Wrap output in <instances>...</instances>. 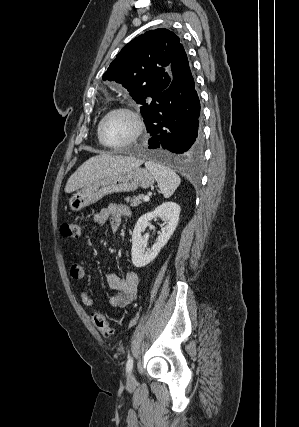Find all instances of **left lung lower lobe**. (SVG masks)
Segmentation results:
<instances>
[{
  "mask_svg": "<svg viewBox=\"0 0 299 427\" xmlns=\"http://www.w3.org/2000/svg\"><path fill=\"white\" fill-rule=\"evenodd\" d=\"M169 86L143 116L150 156L160 161L180 162L201 155L203 135L200 100L183 45L171 62Z\"/></svg>",
  "mask_w": 299,
  "mask_h": 427,
  "instance_id": "0a47b994",
  "label": "left lung lower lobe"
}]
</instances>
